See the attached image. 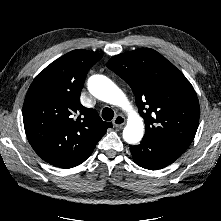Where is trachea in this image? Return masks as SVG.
I'll return each instance as SVG.
<instances>
[{"instance_id": "trachea-1", "label": "trachea", "mask_w": 221, "mask_h": 221, "mask_svg": "<svg viewBox=\"0 0 221 221\" xmlns=\"http://www.w3.org/2000/svg\"><path fill=\"white\" fill-rule=\"evenodd\" d=\"M114 117V111L110 108H104L102 110V118L106 121H111Z\"/></svg>"}]
</instances>
